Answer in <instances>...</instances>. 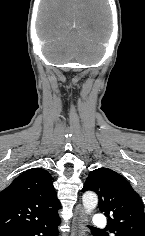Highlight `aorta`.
I'll list each match as a JSON object with an SVG mask.
<instances>
[{"label": "aorta", "instance_id": "aorta-1", "mask_svg": "<svg viewBox=\"0 0 145 236\" xmlns=\"http://www.w3.org/2000/svg\"><path fill=\"white\" fill-rule=\"evenodd\" d=\"M83 207L88 214L92 212L98 204V197L94 192H85L82 197Z\"/></svg>", "mask_w": 145, "mask_h": 236}]
</instances>
